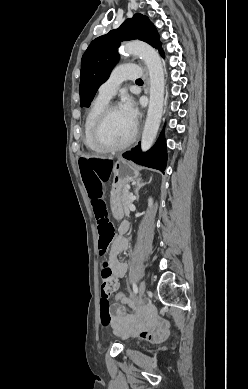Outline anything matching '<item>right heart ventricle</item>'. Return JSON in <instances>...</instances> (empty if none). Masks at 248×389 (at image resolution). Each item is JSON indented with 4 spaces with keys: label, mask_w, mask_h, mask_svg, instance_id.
<instances>
[{
    "label": "right heart ventricle",
    "mask_w": 248,
    "mask_h": 389,
    "mask_svg": "<svg viewBox=\"0 0 248 389\" xmlns=\"http://www.w3.org/2000/svg\"><path fill=\"white\" fill-rule=\"evenodd\" d=\"M108 103L109 100L102 98L98 95L92 101L90 108L86 114L83 127V141L85 146L92 151L102 152V150L93 141L92 132L99 114Z\"/></svg>",
    "instance_id": "1"
}]
</instances>
